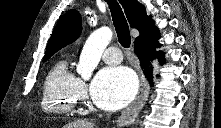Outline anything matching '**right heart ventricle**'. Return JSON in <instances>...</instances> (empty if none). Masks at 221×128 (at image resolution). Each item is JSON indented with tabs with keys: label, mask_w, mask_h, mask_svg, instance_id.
<instances>
[{
	"label": "right heart ventricle",
	"mask_w": 221,
	"mask_h": 128,
	"mask_svg": "<svg viewBox=\"0 0 221 128\" xmlns=\"http://www.w3.org/2000/svg\"><path fill=\"white\" fill-rule=\"evenodd\" d=\"M77 80L66 57L56 60L43 84V111L55 116L71 113L79 99L76 92Z\"/></svg>",
	"instance_id": "obj_1"
}]
</instances>
